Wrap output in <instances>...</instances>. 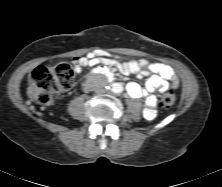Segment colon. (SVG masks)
<instances>
[{
  "label": "colon",
  "instance_id": "5ec220e1",
  "mask_svg": "<svg viewBox=\"0 0 222 187\" xmlns=\"http://www.w3.org/2000/svg\"><path fill=\"white\" fill-rule=\"evenodd\" d=\"M74 80V72L69 64L58 66L39 65L29 75L28 97L39 105H49L56 94L68 90ZM175 95L165 92L160 97V104L170 108L175 103Z\"/></svg>",
  "mask_w": 222,
  "mask_h": 187
}]
</instances>
